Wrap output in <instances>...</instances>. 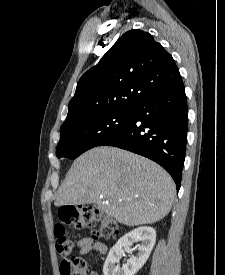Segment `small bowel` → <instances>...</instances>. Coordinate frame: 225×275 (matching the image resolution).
I'll return each instance as SVG.
<instances>
[{"instance_id":"c3829d8e","label":"small bowel","mask_w":225,"mask_h":275,"mask_svg":"<svg viewBox=\"0 0 225 275\" xmlns=\"http://www.w3.org/2000/svg\"><path fill=\"white\" fill-rule=\"evenodd\" d=\"M78 253L77 256H84L89 253H97L99 255H104L107 251V248L105 244L95 241L94 239L90 237H84L81 240H79L78 244ZM90 275H98L95 272H92Z\"/></svg>"}]
</instances>
